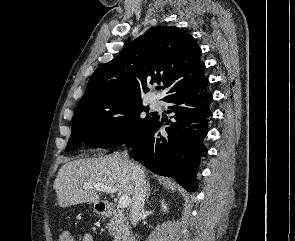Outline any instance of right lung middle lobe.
Returning a JSON list of instances; mask_svg holds the SVG:
<instances>
[{"mask_svg": "<svg viewBox=\"0 0 295 241\" xmlns=\"http://www.w3.org/2000/svg\"><path fill=\"white\" fill-rule=\"evenodd\" d=\"M148 108L142 102L110 98L79 103L72 119V134L66 150L77 148L82 142L101 148L121 145L142 132L156 118L142 117Z\"/></svg>", "mask_w": 295, "mask_h": 241, "instance_id": "obj_1", "label": "right lung middle lobe"}]
</instances>
